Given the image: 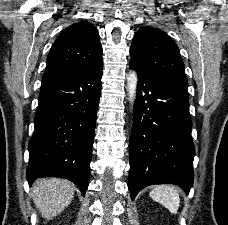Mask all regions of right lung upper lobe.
Returning a JSON list of instances; mask_svg holds the SVG:
<instances>
[{
  "label": "right lung upper lobe",
  "instance_id": "obj_1",
  "mask_svg": "<svg viewBox=\"0 0 228 225\" xmlns=\"http://www.w3.org/2000/svg\"><path fill=\"white\" fill-rule=\"evenodd\" d=\"M102 60V45L96 27L75 23L59 35L47 57L42 82L82 71Z\"/></svg>",
  "mask_w": 228,
  "mask_h": 225
}]
</instances>
